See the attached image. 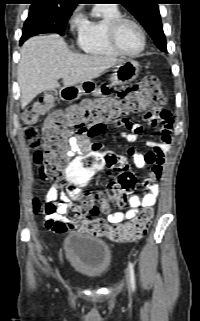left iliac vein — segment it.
I'll return each mask as SVG.
<instances>
[{"instance_id":"1","label":"left iliac vein","mask_w":200,"mask_h":321,"mask_svg":"<svg viewBox=\"0 0 200 321\" xmlns=\"http://www.w3.org/2000/svg\"><path fill=\"white\" fill-rule=\"evenodd\" d=\"M126 282H127V287L128 290L131 291V282H130V276L128 274H126Z\"/></svg>"}]
</instances>
